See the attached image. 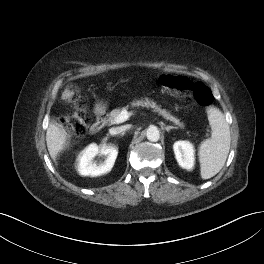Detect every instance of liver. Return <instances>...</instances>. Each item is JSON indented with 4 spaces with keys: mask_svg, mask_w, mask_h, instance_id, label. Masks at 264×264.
<instances>
[{
    "mask_svg": "<svg viewBox=\"0 0 264 264\" xmlns=\"http://www.w3.org/2000/svg\"><path fill=\"white\" fill-rule=\"evenodd\" d=\"M46 143L51 158L56 161L58 154L69 146V133L62 124L51 122L46 132Z\"/></svg>",
    "mask_w": 264,
    "mask_h": 264,
    "instance_id": "liver-1",
    "label": "liver"
}]
</instances>
